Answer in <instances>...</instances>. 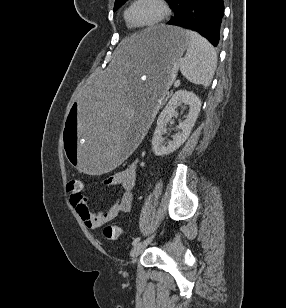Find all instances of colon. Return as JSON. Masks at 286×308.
Here are the masks:
<instances>
[{
	"label": "colon",
	"mask_w": 286,
	"mask_h": 308,
	"mask_svg": "<svg viewBox=\"0 0 286 308\" xmlns=\"http://www.w3.org/2000/svg\"><path fill=\"white\" fill-rule=\"evenodd\" d=\"M82 181L78 179L70 180L67 189L68 191H80L81 190ZM121 235V229L118 226L107 225L103 228V236L108 240H116Z\"/></svg>",
	"instance_id": "5ec220e1"
}]
</instances>
